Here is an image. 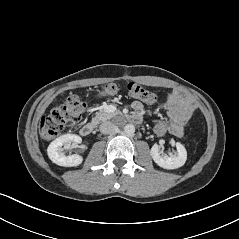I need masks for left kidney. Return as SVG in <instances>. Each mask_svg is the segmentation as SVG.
Segmentation results:
<instances>
[{"mask_svg":"<svg viewBox=\"0 0 239 239\" xmlns=\"http://www.w3.org/2000/svg\"><path fill=\"white\" fill-rule=\"evenodd\" d=\"M177 156H168L160 151V146L154 144L150 154L154 162L164 169H177L182 167L187 160V152L181 143H176Z\"/></svg>","mask_w":239,"mask_h":239,"instance_id":"1","label":"left kidney"}]
</instances>
